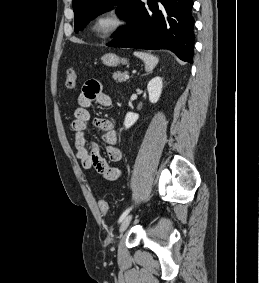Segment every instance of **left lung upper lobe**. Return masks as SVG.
I'll use <instances>...</instances> for the list:
<instances>
[{
  "label": "left lung upper lobe",
  "instance_id": "left-lung-upper-lobe-1",
  "mask_svg": "<svg viewBox=\"0 0 259 283\" xmlns=\"http://www.w3.org/2000/svg\"><path fill=\"white\" fill-rule=\"evenodd\" d=\"M136 0H73L75 32L78 33L90 20L107 8L118 5L117 14L127 19Z\"/></svg>",
  "mask_w": 259,
  "mask_h": 283
}]
</instances>
